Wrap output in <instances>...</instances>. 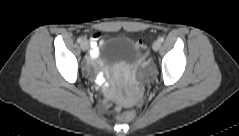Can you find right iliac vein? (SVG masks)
Listing matches in <instances>:
<instances>
[{
	"instance_id": "obj_1",
	"label": "right iliac vein",
	"mask_w": 239,
	"mask_h": 136,
	"mask_svg": "<svg viewBox=\"0 0 239 136\" xmlns=\"http://www.w3.org/2000/svg\"><path fill=\"white\" fill-rule=\"evenodd\" d=\"M80 47L83 51H86L89 48V44H88L87 41H82L81 44H80Z\"/></svg>"
}]
</instances>
